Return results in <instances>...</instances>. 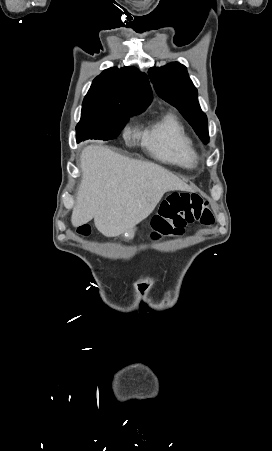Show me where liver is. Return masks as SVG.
<instances>
[{"mask_svg":"<svg viewBox=\"0 0 272 451\" xmlns=\"http://www.w3.org/2000/svg\"><path fill=\"white\" fill-rule=\"evenodd\" d=\"M82 180L72 212V226L90 220L103 235H119L155 210L165 192L192 188L151 162L131 160L105 146H87L81 154Z\"/></svg>","mask_w":272,"mask_h":451,"instance_id":"obj_1","label":"liver"}]
</instances>
